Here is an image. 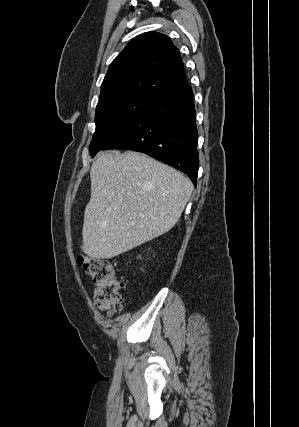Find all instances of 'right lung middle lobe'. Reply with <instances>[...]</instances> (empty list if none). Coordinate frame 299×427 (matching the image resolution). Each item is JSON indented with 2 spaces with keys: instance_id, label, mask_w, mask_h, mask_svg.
<instances>
[{
  "instance_id": "1",
  "label": "right lung middle lobe",
  "mask_w": 299,
  "mask_h": 427,
  "mask_svg": "<svg viewBox=\"0 0 299 427\" xmlns=\"http://www.w3.org/2000/svg\"><path fill=\"white\" fill-rule=\"evenodd\" d=\"M154 100L138 95H117L98 102L96 130L90 143L95 154L132 125Z\"/></svg>"
}]
</instances>
